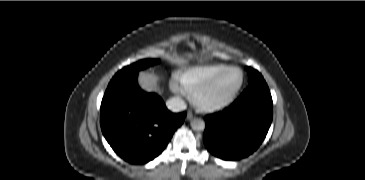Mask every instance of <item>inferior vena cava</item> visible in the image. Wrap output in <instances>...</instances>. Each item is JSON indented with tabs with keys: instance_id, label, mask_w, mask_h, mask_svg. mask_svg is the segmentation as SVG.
<instances>
[{
	"instance_id": "inferior-vena-cava-1",
	"label": "inferior vena cava",
	"mask_w": 365,
	"mask_h": 180,
	"mask_svg": "<svg viewBox=\"0 0 365 180\" xmlns=\"http://www.w3.org/2000/svg\"><path fill=\"white\" fill-rule=\"evenodd\" d=\"M166 106L173 112H179L186 109V103L180 97H172L166 102Z\"/></svg>"
}]
</instances>
